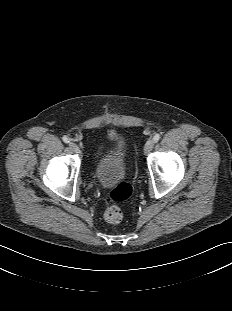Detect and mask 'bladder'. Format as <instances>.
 Segmentation results:
<instances>
[{
	"label": "bladder",
	"instance_id": "bladder-1",
	"mask_svg": "<svg viewBox=\"0 0 232 311\" xmlns=\"http://www.w3.org/2000/svg\"><path fill=\"white\" fill-rule=\"evenodd\" d=\"M109 146L95 168V178L105 188L119 184L125 177L127 146L123 137L113 131L108 136Z\"/></svg>",
	"mask_w": 232,
	"mask_h": 311
}]
</instances>
